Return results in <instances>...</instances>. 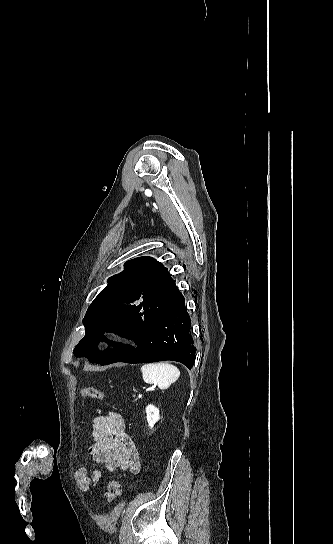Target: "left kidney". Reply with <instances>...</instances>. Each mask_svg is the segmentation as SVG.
<instances>
[{
  "instance_id": "5707ae66",
  "label": "left kidney",
  "mask_w": 333,
  "mask_h": 544,
  "mask_svg": "<svg viewBox=\"0 0 333 544\" xmlns=\"http://www.w3.org/2000/svg\"><path fill=\"white\" fill-rule=\"evenodd\" d=\"M146 418L148 422V426L150 428H153L155 423L160 419L159 415V409L155 407L154 405H148L146 407Z\"/></svg>"
}]
</instances>
